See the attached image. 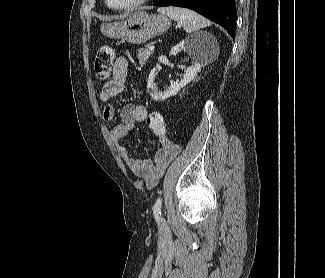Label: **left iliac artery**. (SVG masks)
Wrapping results in <instances>:
<instances>
[{"label":"left iliac artery","mask_w":325,"mask_h":278,"mask_svg":"<svg viewBox=\"0 0 325 278\" xmlns=\"http://www.w3.org/2000/svg\"><path fill=\"white\" fill-rule=\"evenodd\" d=\"M161 205H162V199L158 198L153 207V213L156 221L161 220Z\"/></svg>","instance_id":"obj_1"}]
</instances>
